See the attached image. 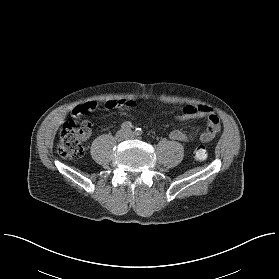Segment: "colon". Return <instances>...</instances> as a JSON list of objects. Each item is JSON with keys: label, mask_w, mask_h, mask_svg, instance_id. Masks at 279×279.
Masks as SVG:
<instances>
[{"label": "colon", "mask_w": 279, "mask_h": 279, "mask_svg": "<svg viewBox=\"0 0 279 279\" xmlns=\"http://www.w3.org/2000/svg\"><path fill=\"white\" fill-rule=\"evenodd\" d=\"M91 129V123L87 120L77 122L69 121L62 125L59 133L58 153L62 157L79 159L84 155L83 141L88 136ZM220 132V126L214 125L210 128V133L204 137V142L210 140L215 134ZM194 156L198 160H204L207 157V151L204 146H198L194 151Z\"/></svg>", "instance_id": "obj_1"}]
</instances>
